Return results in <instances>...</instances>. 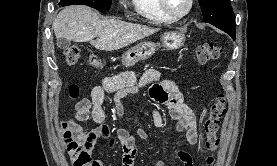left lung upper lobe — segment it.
<instances>
[{"label":"left lung upper lobe","instance_id":"obj_1","mask_svg":"<svg viewBox=\"0 0 277 166\" xmlns=\"http://www.w3.org/2000/svg\"><path fill=\"white\" fill-rule=\"evenodd\" d=\"M205 22L227 32L235 39V17L229 0H198Z\"/></svg>","mask_w":277,"mask_h":166}]
</instances>
